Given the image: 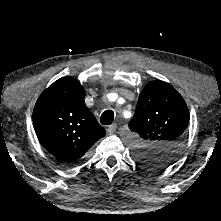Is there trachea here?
Masks as SVG:
<instances>
[{
	"label": "trachea",
	"instance_id": "obj_1",
	"mask_svg": "<svg viewBox=\"0 0 221 221\" xmlns=\"http://www.w3.org/2000/svg\"><path fill=\"white\" fill-rule=\"evenodd\" d=\"M114 120V112L112 110H106L102 113L100 122L102 125H111Z\"/></svg>",
	"mask_w": 221,
	"mask_h": 221
}]
</instances>
